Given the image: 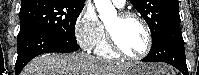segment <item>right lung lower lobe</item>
Listing matches in <instances>:
<instances>
[{
	"label": "right lung lower lobe",
	"instance_id": "98d812e1",
	"mask_svg": "<svg viewBox=\"0 0 199 75\" xmlns=\"http://www.w3.org/2000/svg\"><path fill=\"white\" fill-rule=\"evenodd\" d=\"M18 57L15 75H19L24 66L34 57L49 53H69L79 49L77 42H71L39 29L28 30L17 36Z\"/></svg>",
	"mask_w": 199,
	"mask_h": 75
}]
</instances>
